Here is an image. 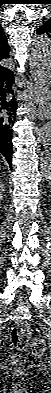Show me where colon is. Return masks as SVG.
<instances>
[{"label":"colon","mask_w":51,"mask_h":393,"mask_svg":"<svg viewBox=\"0 0 51 393\" xmlns=\"http://www.w3.org/2000/svg\"><path fill=\"white\" fill-rule=\"evenodd\" d=\"M10 337L14 348L18 351H24L29 346L30 328L25 321L17 322L10 332ZM31 353L34 356H42L46 352V345L41 339H35L30 343ZM20 360V357L17 358Z\"/></svg>","instance_id":"1"}]
</instances>
